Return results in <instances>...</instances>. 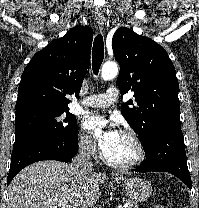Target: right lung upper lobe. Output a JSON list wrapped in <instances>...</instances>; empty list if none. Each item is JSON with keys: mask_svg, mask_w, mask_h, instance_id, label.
<instances>
[{"mask_svg": "<svg viewBox=\"0 0 199 208\" xmlns=\"http://www.w3.org/2000/svg\"><path fill=\"white\" fill-rule=\"evenodd\" d=\"M93 30L75 26L37 52L24 69L16 111L29 107L66 108V95L79 96L90 63Z\"/></svg>", "mask_w": 199, "mask_h": 208, "instance_id": "1", "label": "right lung upper lobe"}]
</instances>
